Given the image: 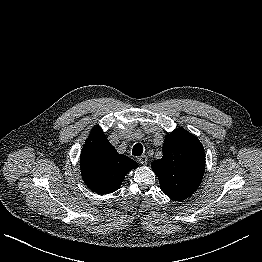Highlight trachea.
<instances>
[{
    "label": "trachea",
    "instance_id": "1",
    "mask_svg": "<svg viewBox=\"0 0 262 262\" xmlns=\"http://www.w3.org/2000/svg\"><path fill=\"white\" fill-rule=\"evenodd\" d=\"M143 153V146L140 143H137L134 145L132 149V154L134 156H140Z\"/></svg>",
    "mask_w": 262,
    "mask_h": 262
}]
</instances>
